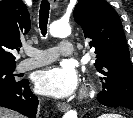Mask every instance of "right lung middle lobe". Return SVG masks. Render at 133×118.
Returning a JSON list of instances; mask_svg holds the SVG:
<instances>
[{
	"label": "right lung middle lobe",
	"mask_w": 133,
	"mask_h": 118,
	"mask_svg": "<svg viewBox=\"0 0 133 118\" xmlns=\"http://www.w3.org/2000/svg\"><path fill=\"white\" fill-rule=\"evenodd\" d=\"M15 63H0V86L14 85L17 81L12 74Z\"/></svg>",
	"instance_id": "1"
}]
</instances>
